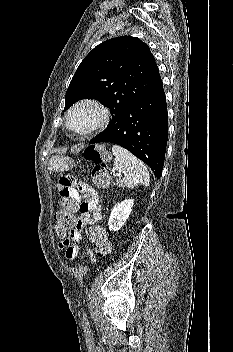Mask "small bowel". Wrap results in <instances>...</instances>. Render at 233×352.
Returning <instances> with one entry per match:
<instances>
[{"mask_svg":"<svg viewBox=\"0 0 233 352\" xmlns=\"http://www.w3.org/2000/svg\"><path fill=\"white\" fill-rule=\"evenodd\" d=\"M87 196L85 204L80 203L79 206V218L74 229L69 233V240L75 242V244H69L68 240L60 244L62 248L65 247L66 257L74 259L80 252L79 245L77 244L82 238L83 229L86 226L92 225L101 219V205L99 204V198L97 193L88 185L82 184L79 186ZM60 195L67 198H72L76 201H80L78 190L73 186L72 180L68 177L62 178L59 185ZM87 254H91L87 251Z\"/></svg>","mask_w":233,"mask_h":352,"instance_id":"c3829d8e","label":"small bowel"}]
</instances>
